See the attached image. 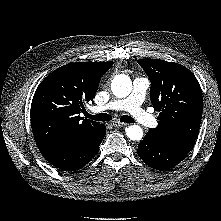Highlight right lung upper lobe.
<instances>
[{
    "label": "right lung upper lobe",
    "instance_id": "right-lung-upper-lobe-1",
    "mask_svg": "<svg viewBox=\"0 0 221 221\" xmlns=\"http://www.w3.org/2000/svg\"><path fill=\"white\" fill-rule=\"evenodd\" d=\"M113 62H76L49 74L31 104V127L37 144L70 146L96 134L103 126L83 119L85 102L93 100L103 74Z\"/></svg>",
    "mask_w": 221,
    "mask_h": 221
}]
</instances>
